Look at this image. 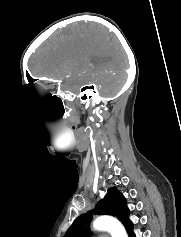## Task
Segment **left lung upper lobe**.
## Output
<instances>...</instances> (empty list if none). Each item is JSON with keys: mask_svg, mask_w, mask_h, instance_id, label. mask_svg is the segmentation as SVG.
Listing matches in <instances>:
<instances>
[{"mask_svg": "<svg viewBox=\"0 0 181 237\" xmlns=\"http://www.w3.org/2000/svg\"><path fill=\"white\" fill-rule=\"evenodd\" d=\"M93 214L117 217L124 225L129 237L134 236L126 199L116 187H112L107 190L105 197L98 202L94 210L88 211L74 220L64 237H90L89 225Z\"/></svg>", "mask_w": 181, "mask_h": 237, "instance_id": "obj_1", "label": "left lung upper lobe"}]
</instances>
